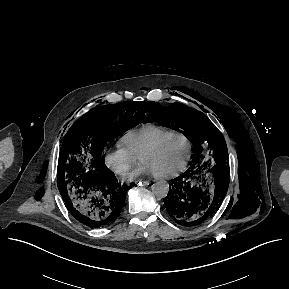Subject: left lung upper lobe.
<instances>
[{
    "label": "left lung upper lobe",
    "instance_id": "left-lung-upper-lobe-1",
    "mask_svg": "<svg viewBox=\"0 0 289 289\" xmlns=\"http://www.w3.org/2000/svg\"><path fill=\"white\" fill-rule=\"evenodd\" d=\"M142 122H157L164 127L186 133L194 146L191 165L217 169L227 166L228 151L225 139L217 127L201 112L181 103L162 106L157 102H143Z\"/></svg>",
    "mask_w": 289,
    "mask_h": 289
}]
</instances>
